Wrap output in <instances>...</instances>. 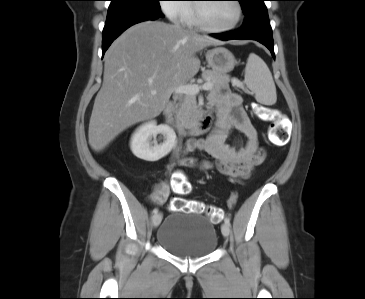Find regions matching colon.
Here are the masks:
<instances>
[{
  "label": "colon",
  "mask_w": 365,
  "mask_h": 299,
  "mask_svg": "<svg viewBox=\"0 0 365 299\" xmlns=\"http://www.w3.org/2000/svg\"><path fill=\"white\" fill-rule=\"evenodd\" d=\"M233 1V0H231ZM258 114L264 121L271 122L268 131V137L271 142L283 145L287 142L289 133L279 117L278 112L270 107L259 106ZM173 190L184 195L190 191V184L183 175H176L172 180ZM234 202L232 198L231 203ZM171 210L183 211L188 213H205L214 223H219L223 219V210L214 205H205L195 200H186L184 198H175L171 203Z\"/></svg>",
  "instance_id": "obj_1"
}]
</instances>
